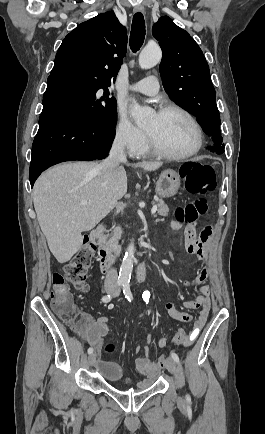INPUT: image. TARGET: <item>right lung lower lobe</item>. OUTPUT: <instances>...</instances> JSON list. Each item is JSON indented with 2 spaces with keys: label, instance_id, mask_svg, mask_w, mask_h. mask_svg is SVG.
I'll return each mask as SVG.
<instances>
[{
  "label": "right lung lower lobe",
  "instance_id": "obj_1",
  "mask_svg": "<svg viewBox=\"0 0 265 434\" xmlns=\"http://www.w3.org/2000/svg\"><path fill=\"white\" fill-rule=\"evenodd\" d=\"M114 136V129L92 125L62 104H43L39 130L32 145L31 187L44 170L57 163L105 158Z\"/></svg>",
  "mask_w": 265,
  "mask_h": 434
}]
</instances>
